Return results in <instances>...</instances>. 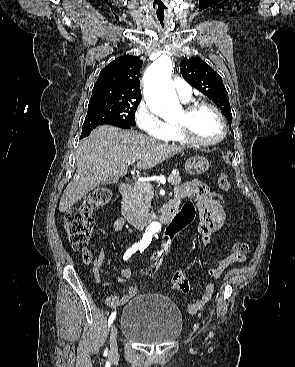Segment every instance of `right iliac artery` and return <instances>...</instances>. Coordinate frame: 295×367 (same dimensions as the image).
Instances as JSON below:
<instances>
[{
	"mask_svg": "<svg viewBox=\"0 0 295 367\" xmlns=\"http://www.w3.org/2000/svg\"><path fill=\"white\" fill-rule=\"evenodd\" d=\"M141 249V246L140 245H138V244H134V245H132V247H130L126 252H125V254H124V256H123V259L124 260H127V259H129V257L133 254V253H135L137 250H140ZM115 317H116V312H113L111 315H110V317H109V319H108V325L110 326L111 324H112V322H113V320L115 319ZM107 352H108V350H106V354H107Z\"/></svg>",
	"mask_w": 295,
	"mask_h": 367,
	"instance_id": "right-iliac-artery-1",
	"label": "right iliac artery"
}]
</instances>
